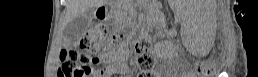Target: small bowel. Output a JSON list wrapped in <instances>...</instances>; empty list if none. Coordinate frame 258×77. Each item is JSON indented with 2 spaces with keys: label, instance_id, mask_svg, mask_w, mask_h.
I'll use <instances>...</instances> for the list:
<instances>
[{
  "label": "small bowel",
  "instance_id": "c3829d8e",
  "mask_svg": "<svg viewBox=\"0 0 258 77\" xmlns=\"http://www.w3.org/2000/svg\"><path fill=\"white\" fill-rule=\"evenodd\" d=\"M125 52L107 53L102 56V61L105 64V68L102 72H99L96 77H103L111 72H120L124 70L125 66Z\"/></svg>",
  "mask_w": 258,
  "mask_h": 77
}]
</instances>
